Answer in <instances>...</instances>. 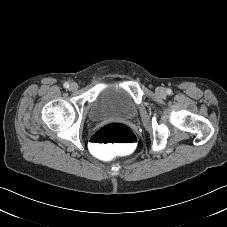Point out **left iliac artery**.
Here are the masks:
<instances>
[{"label": "left iliac artery", "instance_id": "44dca946", "mask_svg": "<svg viewBox=\"0 0 227 227\" xmlns=\"http://www.w3.org/2000/svg\"><path fill=\"white\" fill-rule=\"evenodd\" d=\"M166 92H167V94H169V95L172 94L171 89H167Z\"/></svg>", "mask_w": 227, "mask_h": 227}]
</instances>
